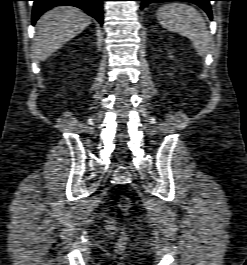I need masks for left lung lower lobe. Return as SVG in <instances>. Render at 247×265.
Wrapping results in <instances>:
<instances>
[{
    "label": "left lung lower lobe",
    "instance_id": "0a47b994",
    "mask_svg": "<svg viewBox=\"0 0 247 265\" xmlns=\"http://www.w3.org/2000/svg\"><path fill=\"white\" fill-rule=\"evenodd\" d=\"M141 1V9H143L146 5L150 3H156V2H168V1H185V2H191L198 6H200L209 16L210 19H212V13H211V7L209 2L212 0H138Z\"/></svg>",
    "mask_w": 247,
    "mask_h": 265
}]
</instances>
